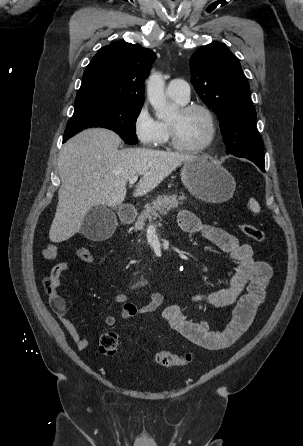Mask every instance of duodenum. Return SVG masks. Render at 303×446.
Instances as JSON below:
<instances>
[{"label":"duodenum","mask_w":303,"mask_h":446,"mask_svg":"<svg viewBox=\"0 0 303 446\" xmlns=\"http://www.w3.org/2000/svg\"><path fill=\"white\" fill-rule=\"evenodd\" d=\"M135 217H136V211H135V209H133L131 207H124L121 210L120 218L124 223L133 222Z\"/></svg>","instance_id":"obj_1"}]
</instances>
